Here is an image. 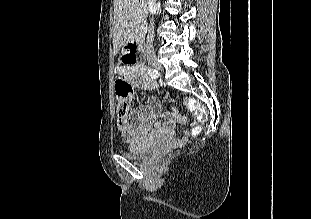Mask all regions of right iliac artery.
Listing matches in <instances>:
<instances>
[{
	"label": "right iliac artery",
	"instance_id": "82829eb1",
	"mask_svg": "<svg viewBox=\"0 0 311 219\" xmlns=\"http://www.w3.org/2000/svg\"><path fill=\"white\" fill-rule=\"evenodd\" d=\"M148 74L154 79L158 77V72L155 69H148Z\"/></svg>",
	"mask_w": 311,
	"mask_h": 219
}]
</instances>
